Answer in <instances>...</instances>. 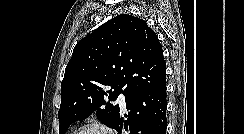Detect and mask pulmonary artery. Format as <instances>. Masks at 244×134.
I'll use <instances>...</instances> for the list:
<instances>
[{"label":"pulmonary artery","mask_w":244,"mask_h":134,"mask_svg":"<svg viewBox=\"0 0 244 134\" xmlns=\"http://www.w3.org/2000/svg\"><path fill=\"white\" fill-rule=\"evenodd\" d=\"M118 103L120 105V108L125 111L126 110V103H125V97L123 94H120L118 97Z\"/></svg>","instance_id":"1"}]
</instances>
